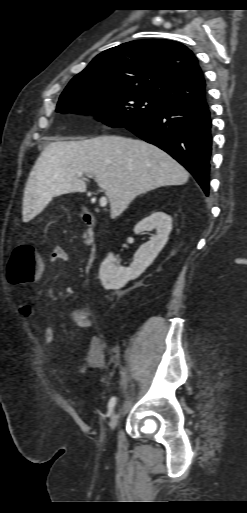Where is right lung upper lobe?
<instances>
[{
	"mask_svg": "<svg viewBox=\"0 0 247 513\" xmlns=\"http://www.w3.org/2000/svg\"><path fill=\"white\" fill-rule=\"evenodd\" d=\"M71 81L127 88L169 105L205 96L203 74L192 51L164 39L136 40L110 48Z\"/></svg>",
	"mask_w": 247,
	"mask_h": 513,
	"instance_id": "right-lung-upper-lobe-1",
	"label": "right lung upper lobe"
}]
</instances>
